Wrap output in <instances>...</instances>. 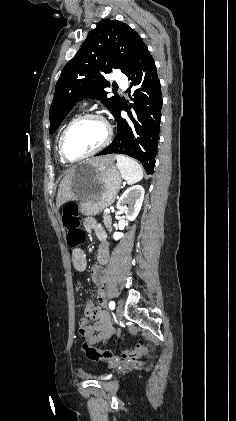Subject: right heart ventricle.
Returning <instances> with one entry per match:
<instances>
[{"mask_svg":"<svg viewBox=\"0 0 236 421\" xmlns=\"http://www.w3.org/2000/svg\"><path fill=\"white\" fill-rule=\"evenodd\" d=\"M61 135H62V133H61ZM61 135L59 136V139H58V150H59V143H60V138H61ZM59 154H60V153H59ZM60 159H61V161H62V162H64V161L62 160L61 156H60Z\"/></svg>","mask_w":236,"mask_h":421,"instance_id":"1","label":"right heart ventricle"}]
</instances>
